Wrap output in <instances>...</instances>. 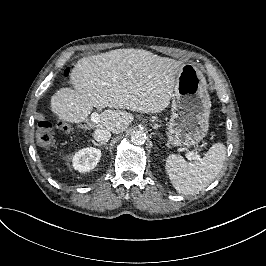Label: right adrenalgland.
<instances>
[{
	"instance_id": "obj_1",
	"label": "right adrenal gland",
	"mask_w": 266,
	"mask_h": 266,
	"mask_svg": "<svg viewBox=\"0 0 266 266\" xmlns=\"http://www.w3.org/2000/svg\"><path fill=\"white\" fill-rule=\"evenodd\" d=\"M91 143H93L96 147H104L105 150H107L108 145L106 143H97L95 140H91Z\"/></svg>"
}]
</instances>
